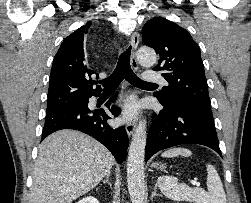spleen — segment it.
I'll list each match as a JSON object with an SVG mask.
<instances>
[{
    "mask_svg": "<svg viewBox=\"0 0 251 203\" xmlns=\"http://www.w3.org/2000/svg\"><path fill=\"white\" fill-rule=\"evenodd\" d=\"M188 157L192 152L186 148L175 147L166 150L162 153V157L175 156ZM207 189L191 188L184 183H178V179L172 176L159 177L157 185L161 192L169 199L180 202H195V203H226V195L223 189L220 176L214 166L207 164Z\"/></svg>",
    "mask_w": 251,
    "mask_h": 203,
    "instance_id": "spleen-1",
    "label": "spleen"
}]
</instances>
